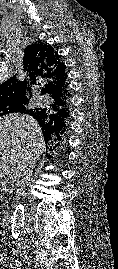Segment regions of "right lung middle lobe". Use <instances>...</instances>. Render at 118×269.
Masks as SVG:
<instances>
[{"mask_svg":"<svg viewBox=\"0 0 118 269\" xmlns=\"http://www.w3.org/2000/svg\"><path fill=\"white\" fill-rule=\"evenodd\" d=\"M27 107V103H17V104H11V105H2L0 106V116L9 114V113H15V112H21L24 111V109Z\"/></svg>","mask_w":118,"mask_h":269,"instance_id":"right-lung-middle-lobe-1","label":"right lung middle lobe"}]
</instances>
